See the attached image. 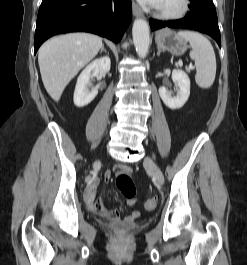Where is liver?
<instances>
[{
  "label": "liver",
  "instance_id": "6515ba94",
  "mask_svg": "<svg viewBox=\"0 0 247 265\" xmlns=\"http://www.w3.org/2000/svg\"><path fill=\"white\" fill-rule=\"evenodd\" d=\"M102 38L89 33L53 37L39 49L38 63L44 87L59 101L68 83L102 48Z\"/></svg>",
  "mask_w": 247,
  "mask_h": 265
}]
</instances>
